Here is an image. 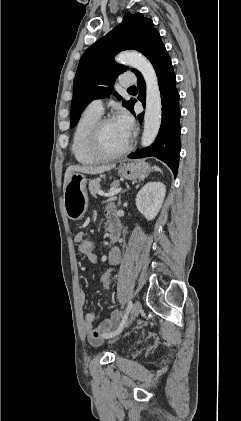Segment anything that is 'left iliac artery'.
I'll return each mask as SVG.
<instances>
[{
	"label": "left iliac artery",
	"mask_w": 241,
	"mask_h": 421,
	"mask_svg": "<svg viewBox=\"0 0 241 421\" xmlns=\"http://www.w3.org/2000/svg\"><path fill=\"white\" fill-rule=\"evenodd\" d=\"M131 308H132V302L129 301L128 302V305H127V308H126V312H125V314L123 316V319H122L119 327L117 328L116 331H114V332L110 333L109 335H107L106 338H112V337L118 335L122 331V329L124 328V325L126 323V320H127V317H128V314H129Z\"/></svg>",
	"instance_id": "left-iliac-artery-1"
}]
</instances>
